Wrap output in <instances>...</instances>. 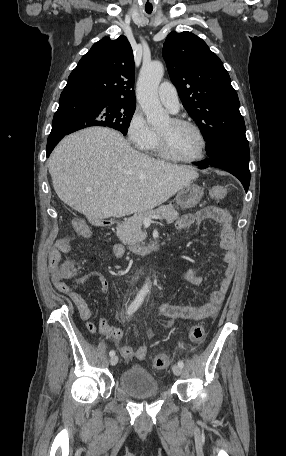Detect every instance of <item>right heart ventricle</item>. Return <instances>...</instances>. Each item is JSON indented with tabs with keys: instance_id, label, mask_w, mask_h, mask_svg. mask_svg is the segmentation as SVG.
<instances>
[{
	"instance_id": "1",
	"label": "right heart ventricle",
	"mask_w": 286,
	"mask_h": 456,
	"mask_svg": "<svg viewBox=\"0 0 286 456\" xmlns=\"http://www.w3.org/2000/svg\"><path fill=\"white\" fill-rule=\"evenodd\" d=\"M148 153H151L153 155H159V150H158V138L155 133V137L150 143V145L145 149Z\"/></svg>"
}]
</instances>
